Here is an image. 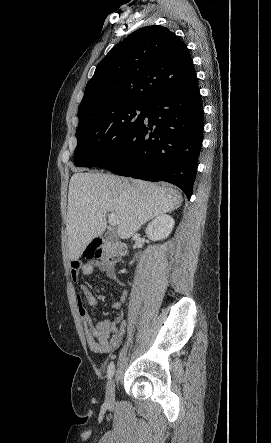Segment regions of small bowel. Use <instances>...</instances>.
Segmentation results:
<instances>
[{"label": "small bowel", "instance_id": "small-bowel-1", "mask_svg": "<svg viewBox=\"0 0 271 443\" xmlns=\"http://www.w3.org/2000/svg\"><path fill=\"white\" fill-rule=\"evenodd\" d=\"M96 266L104 272L105 276L110 281L123 288L119 300L114 301L111 305L113 309H121L127 300L128 292L125 289L124 283L115 273L113 266L93 261L82 264L75 260L71 262V278L76 281L80 273L90 275ZM76 300L78 313L84 326L89 349L95 353L106 354L117 348L121 343L126 330V319L124 314L122 313L116 321L105 319L100 322H94L85 308L84 303L95 308L98 301L89 288L84 284L80 285V293L77 295Z\"/></svg>", "mask_w": 271, "mask_h": 443}]
</instances>
